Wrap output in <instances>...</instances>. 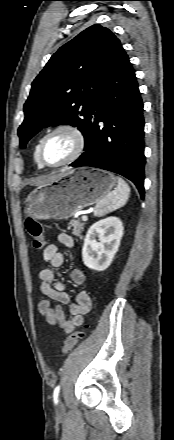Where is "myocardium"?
<instances>
[{
  "mask_svg": "<svg viewBox=\"0 0 174 440\" xmlns=\"http://www.w3.org/2000/svg\"><path fill=\"white\" fill-rule=\"evenodd\" d=\"M58 132H65L70 134L73 139H74V150L71 153V155L66 158L64 161H62L59 164H55V165H50L47 164L46 162H44L43 158H42V148L44 145V142L46 141L47 138H49L51 135L56 134ZM86 147V137L83 133V131L76 125L71 124V123H62V124H58L56 126H54L53 128H51L49 131H47L39 140L38 143V147H37V159L38 162L40 163V165L42 167H46V168H60L63 167L65 165H68L72 162H74L75 160H77L84 152Z\"/></svg>",
  "mask_w": 174,
  "mask_h": 440,
  "instance_id": "f54148a6",
  "label": "myocardium"
}]
</instances>
